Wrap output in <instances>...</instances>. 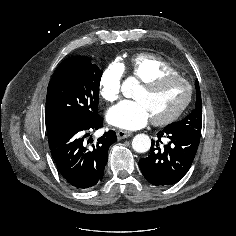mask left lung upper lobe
<instances>
[{"mask_svg": "<svg viewBox=\"0 0 236 236\" xmlns=\"http://www.w3.org/2000/svg\"><path fill=\"white\" fill-rule=\"evenodd\" d=\"M196 87V106L195 109L181 121L171 123L170 128L189 131L201 135L202 128V102L198 80L195 82Z\"/></svg>", "mask_w": 236, "mask_h": 236, "instance_id": "left-lung-upper-lobe-1", "label": "left lung upper lobe"}]
</instances>
